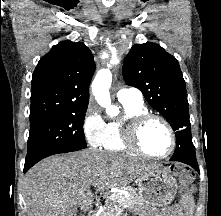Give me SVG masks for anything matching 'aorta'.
I'll use <instances>...</instances> for the list:
<instances>
[{"mask_svg":"<svg viewBox=\"0 0 221 216\" xmlns=\"http://www.w3.org/2000/svg\"><path fill=\"white\" fill-rule=\"evenodd\" d=\"M119 61L115 55V51H113V56L111 60V64H117ZM108 69H101L96 74L93 82H92V93L98 102V104L106 109V113L111 116H117L119 113V109L111 104L109 89L112 82V74Z\"/></svg>","mask_w":221,"mask_h":216,"instance_id":"1","label":"aorta"}]
</instances>
